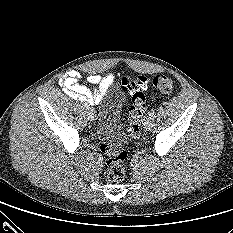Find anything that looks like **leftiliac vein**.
<instances>
[{
	"label": "left iliac vein",
	"instance_id": "obj_1",
	"mask_svg": "<svg viewBox=\"0 0 233 233\" xmlns=\"http://www.w3.org/2000/svg\"><path fill=\"white\" fill-rule=\"evenodd\" d=\"M152 125H153L152 117L149 116V117L146 118V120L144 122V129L145 130H150Z\"/></svg>",
	"mask_w": 233,
	"mask_h": 233
}]
</instances>
